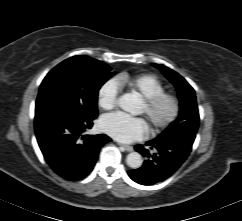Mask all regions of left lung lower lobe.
Wrapping results in <instances>:
<instances>
[{"mask_svg": "<svg viewBox=\"0 0 242 221\" xmlns=\"http://www.w3.org/2000/svg\"><path fill=\"white\" fill-rule=\"evenodd\" d=\"M194 138H156L145 145H136L135 149L146 160L142 167L128 171L130 178L141 185H153L161 182L178 170L191 152Z\"/></svg>", "mask_w": 242, "mask_h": 221, "instance_id": "left-lung-lower-lobe-1", "label": "left lung lower lobe"}]
</instances>
